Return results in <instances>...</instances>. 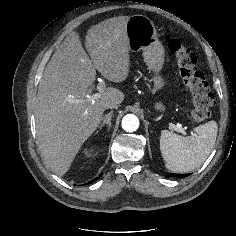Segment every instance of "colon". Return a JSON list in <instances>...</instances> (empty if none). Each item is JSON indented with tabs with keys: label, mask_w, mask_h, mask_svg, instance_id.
<instances>
[{
	"label": "colon",
	"mask_w": 236,
	"mask_h": 236,
	"mask_svg": "<svg viewBox=\"0 0 236 236\" xmlns=\"http://www.w3.org/2000/svg\"><path fill=\"white\" fill-rule=\"evenodd\" d=\"M165 40L175 55L179 75L191 93L194 106L192 118L195 122H202L211 115L214 97L204 74L197 67V57L183 42L171 35H166Z\"/></svg>",
	"instance_id": "obj_1"
}]
</instances>
